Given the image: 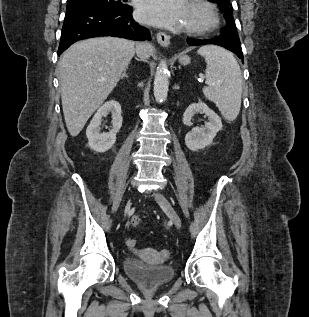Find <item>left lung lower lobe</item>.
Returning <instances> with one entry per match:
<instances>
[{"instance_id":"left-lung-lower-lobe-1","label":"left lung lower lobe","mask_w":309,"mask_h":317,"mask_svg":"<svg viewBox=\"0 0 309 317\" xmlns=\"http://www.w3.org/2000/svg\"><path fill=\"white\" fill-rule=\"evenodd\" d=\"M187 43L191 46L192 45L198 46V45H205V44H214V45L222 46L232 51L233 53H235L240 59H242V62H243V52L241 49L240 40L230 35L220 34L218 37L207 39V40H198V39L188 38Z\"/></svg>"}]
</instances>
